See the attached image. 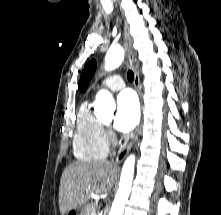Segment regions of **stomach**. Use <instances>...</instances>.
<instances>
[{
    "mask_svg": "<svg viewBox=\"0 0 221 215\" xmlns=\"http://www.w3.org/2000/svg\"><path fill=\"white\" fill-rule=\"evenodd\" d=\"M66 215H83V210L81 208H76L68 211Z\"/></svg>",
    "mask_w": 221,
    "mask_h": 215,
    "instance_id": "obj_1",
    "label": "stomach"
}]
</instances>
